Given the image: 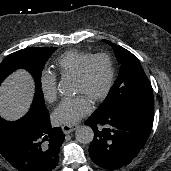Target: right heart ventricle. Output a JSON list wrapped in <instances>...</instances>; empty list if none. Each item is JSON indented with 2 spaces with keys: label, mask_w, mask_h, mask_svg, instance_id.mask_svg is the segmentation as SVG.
<instances>
[{
  "label": "right heart ventricle",
  "mask_w": 171,
  "mask_h": 171,
  "mask_svg": "<svg viewBox=\"0 0 171 171\" xmlns=\"http://www.w3.org/2000/svg\"><path fill=\"white\" fill-rule=\"evenodd\" d=\"M90 56L91 54L85 51L68 50L56 60V69L61 76L74 77Z\"/></svg>",
  "instance_id": "right-heart-ventricle-1"
}]
</instances>
